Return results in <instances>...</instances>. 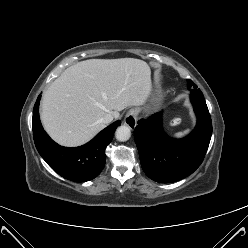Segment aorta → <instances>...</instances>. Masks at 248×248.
I'll list each match as a JSON object with an SVG mask.
<instances>
[{
  "instance_id": "1",
  "label": "aorta",
  "mask_w": 248,
  "mask_h": 248,
  "mask_svg": "<svg viewBox=\"0 0 248 248\" xmlns=\"http://www.w3.org/2000/svg\"><path fill=\"white\" fill-rule=\"evenodd\" d=\"M116 139L120 142H124L129 140L131 137V130L128 126L122 125L117 128L115 132Z\"/></svg>"
}]
</instances>
